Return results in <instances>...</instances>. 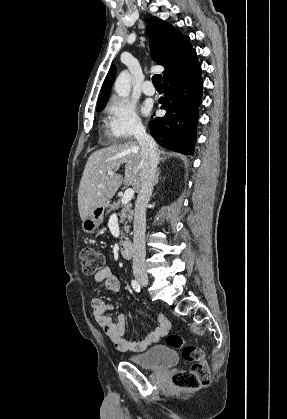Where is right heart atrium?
I'll list each match as a JSON object with an SVG mask.
<instances>
[{
  "mask_svg": "<svg viewBox=\"0 0 287 419\" xmlns=\"http://www.w3.org/2000/svg\"><path fill=\"white\" fill-rule=\"evenodd\" d=\"M109 115V131L112 137L129 139L138 135L142 129V121L133 103L121 98H113L107 107Z\"/></svg>",
  "mask_w": 287,
  "mask_h": 419,
  "instance_id": "1",
  "label": "right heart atrium"
}]
</instances>
